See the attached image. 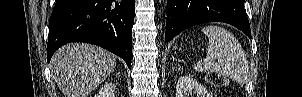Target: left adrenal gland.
Listing matches in <instances>:
<instances>
[{"label": "left adrenal gland", "mask_w": 302, "mask_h": 97, "mask_svg": "<svg viewBox=\"0 0 302 97\" xmlns=\"http://www.w3.org/2000/svg\"><path fill=\"white\" fill-rule=\"evenodd\" d=\"M178 61H180V59H178ZM174 69H177V67H172V71H174Z\"/></svg>", "instance_id": "1"}]
</instances>
